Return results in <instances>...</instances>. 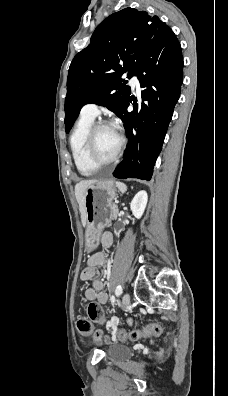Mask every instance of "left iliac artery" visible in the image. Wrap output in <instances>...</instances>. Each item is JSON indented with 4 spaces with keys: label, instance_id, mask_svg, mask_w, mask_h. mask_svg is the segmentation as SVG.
<instances>
[{
    "label": "left iliac artery",
    "instance_id": "obj_1",
    "mask_svg": "<svg viewBox=\"0 0 228 396\" xmlns=\"http://www.w3.org/2000/svg\"><path fill=\"white\" fill-rule=\"evenodd\" d=\"M121 293H122V286L118 285L116 287L115 294H116V296H119V295H121Z\"/></svg>",
    "mask_w": 228,
    "mask_h": 396
}]
</instances>
